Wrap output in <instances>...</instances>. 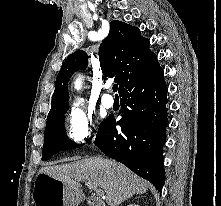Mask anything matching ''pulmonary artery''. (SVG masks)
<instances>
[{
    "label": "pulmonary artery",
    "mask_w": 221,
    "mask_h": 206,
    "mask_svg": "<svg viewBox=\"0 0 221 206\" xmlns=\"http://www.w3.org/2000/svg\"><path fill=\"white\" fill-rule=\"evenodd\" d=\"M105 88L108 89V88H109V85H105ZM101 101H102V104H103L105 107H107V108L112 107L113 104H114V99H113V97H112L111 95H109V94H104V95L102 96Z\"/></svg>",
    "instance_id": "1"
}]
</instances>
